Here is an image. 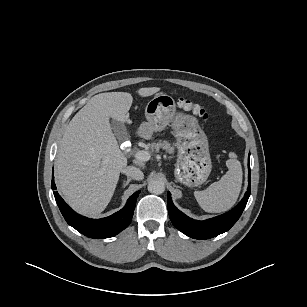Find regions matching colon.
Wrapping results in <instances>:
<instances>
[{"instance_id": "5ec220e1", "label": "colon", "mask_w": 307, "mask_h": 307, "mask_svg": "<svg viewBox=\"0 0 307 307\" xmlns=\"http://www.w3.org/2000/svg\"><path fill=\"white\" fill-rule=\"evenodd\" d=\"M177 104L182 110L192 112L203 121H207L209 118L207 110L199 102L187 98H180Z\"/></svg>"}]
</instances>
